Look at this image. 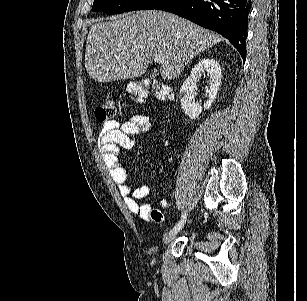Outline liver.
Wrapping results in <instances>:
<instances>
[{"label":"liver","instance_id":"liver-1","mask_svg":"<svg viewBox=\"0 0 307 301\" xmlns=\"http://www.w3.org/2000/svg\"><path fill=\"white\" fill-rule=\"evenodd\" d=\"M94 22L86 40L85 68L98 82L141 76L155 54L164 58L160 76L173 80L191 58L223 38L164 10H136Z\"/></svg>","mask_w":307,"mask_h":301}]
</instances>
